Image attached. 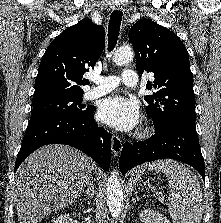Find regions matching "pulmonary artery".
Returning <instances> with one entry per match:
<instances>
[{"label":"pulmonary artery","instance_id":"1","mask_svg":"<svg viewBox=\"0 0 221 223\" xmlns=\"http://www.w3.org/2000/svg\"><path fill=\"white\" fill-rule=\"evenodd\" d=\"M90 79L92 82L97 84L96 87L90 89L86 94V97L90 98V99L100 97V96L112 91L119 84L118 78L113 75L91 76ZM121 80L127 86H136L138 84V75H137L136 71L131 68L125 69L121 73Z\"/></svg>","mask_w":221,"mask_h":223}]
</instances>
